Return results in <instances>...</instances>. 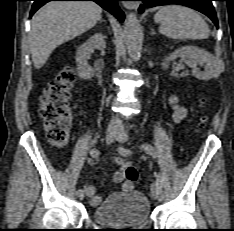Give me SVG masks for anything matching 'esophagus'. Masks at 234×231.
Instances as JSON below:
<instances>
[{"mask_svg":"<svg viewBox=\"0 0 234 231\" xmlns=\"http://www.w3.org/2000/svg\"><path fill=\"white\" fill-rule=\"evenodd\" d=\"M126 7H127V8H136V6H135V5H132V4H129V5H127Z\"/></svg>","mask_w":234,"mask_h":231,"instance_id":"obj_1","label":"esophagus"}]
</instances>
